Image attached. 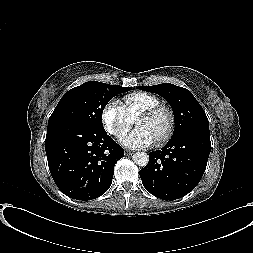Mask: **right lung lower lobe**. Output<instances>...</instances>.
<instances>
[{"label": "right lung lower lobe", "instance_id": "1", "mask_svg": "<svg viewBox=\"0 0 253 253\" xmlns=\"http://www.w3.org/2000/svg\"><path fill=\"white\" fill-rule=\"evenodd\" d=\"M45 150L50 173L60 191L85 201L109 189L114 166L124 156V150L105 129L76 123L48 127Z\"/></svg>", "mask_w": 253, "mask_h": 253}]
</instances>
